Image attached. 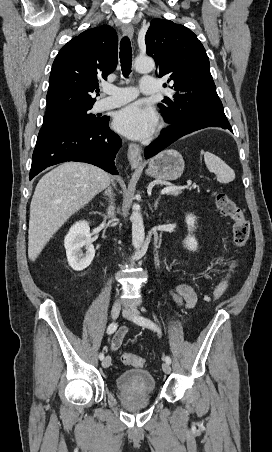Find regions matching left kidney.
Instances as JSON below:
<instances>
[{
  "mask_svg": "<svg viewBox=\"0 0 272 452\" xmlns=\"http://www.w3.org/2000/svg\"><path fill=\"white\" fill-rule=\"evenodd\" d=\"M185 222L188 226L189 234L183 241L184 247H186L190 251H196L198 242L194 235H192L193 231L196 229L195 227L196 217L192 214H188L185 218Z\"/></svg>",
  "mask_w": 272,
  "mask_h": 452,
  "instance_id": "1",
  "label": "left kidney"
}]
</instances>
